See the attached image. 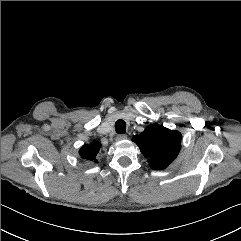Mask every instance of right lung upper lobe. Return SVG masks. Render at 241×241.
<instances>
[{"mask_svg": "<svg viewBox=\"0 0 241 241\" xmlns=\"http://www.w3.org/2000/svg\"><path fill=\"white\" fill-rule=\"evenodd\" d=\"M100 147H101V144L94 141L90 145H84L80 149L79 153L82 158L97 162L95 157H96L97 153L99 152Z\"/></svg>", "mask_w": 241, "mask_h": 241, "instance_id": "right-lung-upper-lobe-1", "label": "right lung upper lobe"}]
</instances>
